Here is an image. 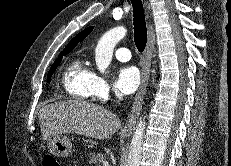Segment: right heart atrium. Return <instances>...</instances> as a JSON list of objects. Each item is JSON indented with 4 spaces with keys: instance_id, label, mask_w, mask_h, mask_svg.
<instances>
[{
    "instance_id": "obj_1",
    "label": "right heart atrium",
    "mask_w": 231,
    "mask_h": 166,
    "mask_svg": "<svg viewBox=\"0 0 231 166\" xmlns=\"http://www.w3.org/2000/svg\"><path fill=\"white\" fill-rule=\"evenodd\" d=\"M112 94H116V91L107 79L99 74H94L91 89L92 97L106 100Z\"/></svg>"
}]
</instances>
